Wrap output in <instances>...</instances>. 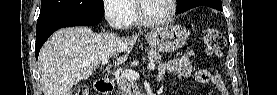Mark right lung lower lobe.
<instances>
[{"label": "right lung lower lobe", "instance_id": "obj_1", "mask_svg": "<svg viewBox=\"0 0 277 95\" xmlns=\"http://www.w3.org/2000/svg\"><path fill=\"white\" fill-rule=\"evenodd\" d=\"M100 20H101V17H90V18H81V19H54V20L37 23L36 48H35L36 59L38 58L39 51L43 43L48 39V37L54 31L63 27L96 25L100 22Z\"/></svg>", "mask_w": 277, "mask_h": 95}]
</instances>
